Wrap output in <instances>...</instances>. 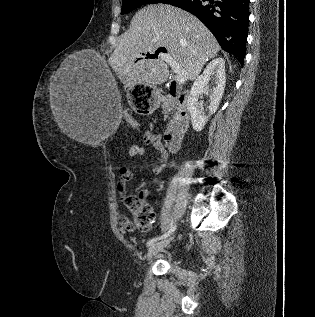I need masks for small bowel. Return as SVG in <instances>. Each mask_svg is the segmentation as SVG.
Returning a JSON list of instances; mask_svg holds the SVG:
<instances>
[{
    "label": "small bowel",
    "instance_id": "obj_1",
    "mask_svg": "<svg viewBox=\"0 0 315 317\" xmlns=\"http://www.w3.org/2000/svg\"><path fill=\"white\" fill-rule=\"evenodd\" d=\"M143 140L146 145L152 148V150L156 153L158 158V162L153 168V171L155 173L162 172L165 169L168 162V152L163 145L161 136L151 131H145L143 135ZM144 153H145L144 147L138 144H132L128 149V155L130 159L141 156ZM119 176L120 178H119L117 188L119 191L120 199L124 200L126 197V183L132 178V173L129 170L127 164H124L119 168ZM140 194L145 199L148 196V191L143 190L140 192ZM117 219L123 231L132 232L134 230V227L131 224V222L127 220L125 217L118 215Z\"/></svg>",
    "mask_w": 315,
    "mask_h": 317
}]
</instances>
